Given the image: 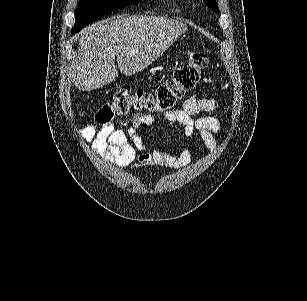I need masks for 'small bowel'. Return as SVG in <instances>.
<instances>
[{
  "mask_svg": "<svg viewBox=\"0 0 307 301\" xmlns=\"http://www.w3.org/2000/svg\"><path fill=\"white\" fill-rule=\"evenodd\" d=\"M219 108L217 100L201 98L197 95L189 97L182 107L164 113L165 123L170 127L180 126L184 137L198 136L203 145L211 152L217 146V137H222L224 128L220 120L211 116L194 118V115L215 111ZM156 124V118L146 113H135L129 121H124L121 128L107 123L101 126L89 124L80 130L85 142H91L96 153L119 166H128L137 159L138 167L158 166L161 168H179L191 160L188 148L174 153L168 149H158L136 155L145 149L144 141L139 133L141 128Z\"/></svg>",
  "mask_w": 307,
  "mask_h": 301,
  "instance_id": "obj_1",
  "label": "small bowel"
}]
</instances>
